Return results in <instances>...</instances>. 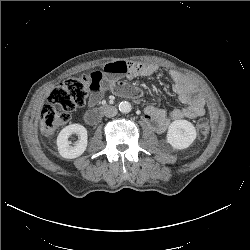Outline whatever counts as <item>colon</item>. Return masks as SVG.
<instances>
[{"label": "colon", "instance_id": "1", "mask_svg": "<svg viewBox=\"0 0 250 250\" xmlns=\"http://www.w3.org/2000/svg\"><path fill=\"white\" fill-rule=\"evenodd\" d=\"M91 87L89 75L68 78L59 83L50 93L46 104L41 110V129L47 134H53L59 127L70 121L71 113L86 103ZM197 137L207 138L210 123L200 119L196 123Z\"/></svg>", "mask_w": 250, "mask_h": 250}]
</instances>
